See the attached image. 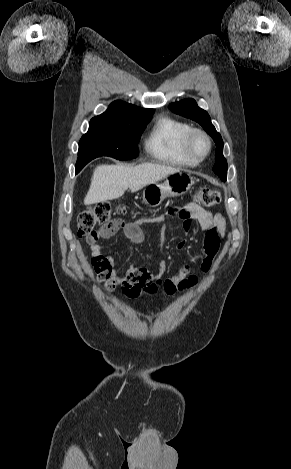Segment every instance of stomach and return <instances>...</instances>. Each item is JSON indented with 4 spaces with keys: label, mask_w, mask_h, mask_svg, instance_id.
Here are the masks:
<instances>
[{
    "label": "stomach",
    "mask_w": 291,
    "mask_h": 469,
    "mask_svg": "<svg viewBox=\"0 0 291 469\" xmlns=\"http://www.w3.org/2000/svg\"><path fill=\"white\" fill-rule=\"evenodd\" d=\"M194 184L193 177L187 172L171 174L163 183L147 185L143 191V202L149 206H159L166 197L185 194Z\"/></svg>",
    "instance_id": "1"
}]
</instances>
